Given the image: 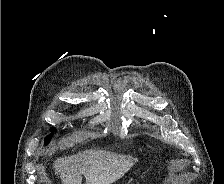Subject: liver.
I'll return each instance as SVG.
<instances>
[{
    "label": "liver",
    "mask_w": 224,
    "mask_h": 184,
    "mask_svg": "<svg viewBox=\"0 0 224 184\" xmlns=\"http://www.w3.org/2000/svg\"><path fill=\"white\" fill-rule=\"evenodd\" d=\"M130 155H120L104 150H86L78 154L57 159L55 173L62 184H112L119 180L137 162Z\"/></svg>",
    "instance_id": "obj_1"
}]
</instances>
